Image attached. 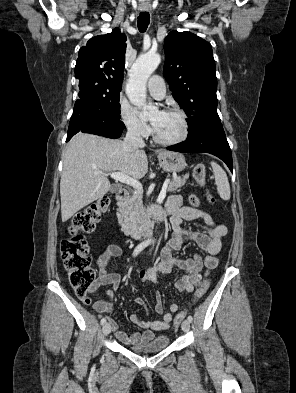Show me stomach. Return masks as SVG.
<instances>
[{"label": "stomach", "instance_id": "stomach-1", "mask_svg": "<svg viewBox=\"0 0 296 393\" xmlns=\"http://www.w3.org/2000/svg\"><path fill=\"white\" fill-rule=\"evenodd\" d=\"M160 166L170 173H178L185 169V157L181 153L163 151L158 154Z\"/></svg>", "mask_w": 296, "mask_h": 393}]
</instances>
